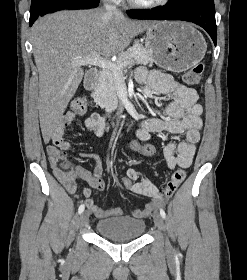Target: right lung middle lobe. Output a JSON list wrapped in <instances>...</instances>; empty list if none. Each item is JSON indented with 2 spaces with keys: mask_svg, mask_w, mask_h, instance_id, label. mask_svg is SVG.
<instances>
[{
  "mask_svg": "<svg viewBox=\"0 0 247 280\" xmlns=\"http://www.w3.org/2000/svg\"><path fill=\"white\" fill-rule=\"evenodd\" d=\"M56 0H32L30 17L36 16L45 6Z\"/></svg>",
  "mask_w": 247,
  "mask_h": 280,
  "instance_id": "obj_1",
  "label": "right lung middle lobe"
}]
</instances>
